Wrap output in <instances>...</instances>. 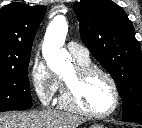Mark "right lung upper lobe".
<instances>
[{"label":"right lung upper lobe","mask_w":142,"mask_h":128,"mask_svg":"<svg viewBox=\"0 0 142 128\" xmlns=\"http://www.w3.org/2000/svg\"><path fill=\"white\" fill-rule=\"evenodd\" d=\"M45 6L12 3L0 10V69L29 62L33 38Z\"/></svg>","instance_id":"cb5924a9"}]
</instances>
